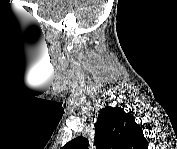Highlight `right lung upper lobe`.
Masks as SVG:
<instances>
[{"mask_svg": "<svg viewBox=\"0 0 177 149\" xmlns=\"http://www.w3.org/2000/svg\"><path fill=\"white\" fill-rule=\"evenodd\" d=\"M141 127L134 116L119 107L100 110L95 126V145L98 149H143L146 145ZM89 141L83 136L68 142L64 149H88Z\"/></svg>", "mask_w": 177, "mask_h": 149, "instance_id": "right-lung-upper-lobe-1", "label": "right lung upper lobe"}]
</instances>
